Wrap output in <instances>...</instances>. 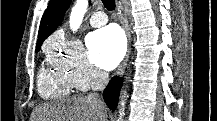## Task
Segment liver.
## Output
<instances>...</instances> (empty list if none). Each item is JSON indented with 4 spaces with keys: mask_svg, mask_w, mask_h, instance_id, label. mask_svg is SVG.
Segmentation results:
<instances>
[{
    "mask_svg": "<svg viewBox=\"0 0 217 121\" xmlns=\"http://www.w3.org/2000/svg\"><path fill=\"white\" fill-rule=\"evenodd\" d=\"M37 121H106L104 103L89 97L62 99L36 110Z\"/></svg>",
    "mask_w": 217,
    "mask_h": 121,
    "instance_id": "liver-1",
    "label": "liver"
}]
</instances>
